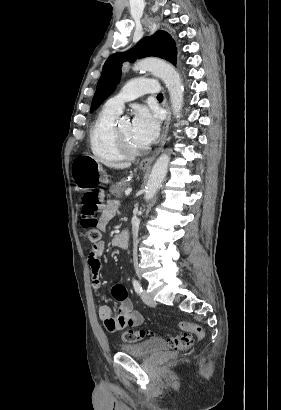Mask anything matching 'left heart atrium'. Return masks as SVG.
Returning a JSON list of instances; mask_svg holds the SVG:
<instances>
[{
    "label": "left heart atrium",
    "instance_id": "left-heart-atrium-1",
    "mask_svg": "<svg viewBox=\"0 0 281 410\" xmlns=\"http://www.w3.org/2000/svg\"><path fill=\"white\" fill-rule=\"evenodd\" d=\"M131 125L134 139L142 146L149 145L158 136V117L146 107L137 108Z\"/></svg>",
    "mask_w": 281,
    "mask_h": 410
}]
</instances>
